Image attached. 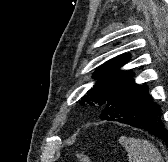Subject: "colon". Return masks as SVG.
<instances>
[{"label": "colon", "mask_w": 168, "mask_h": 162, "mask_svg": "<svg viewBox=\"0 0 168 162\" xmlns=\"http://www.w3.org/2000/svg\"><path fill=\"white\" fill-rule=\"evenodd\" d=\"M77 162H92L90 157L84 153H78L76 155Z\"/></svg>", "instance_id": "colon-1"}]
</instances>
